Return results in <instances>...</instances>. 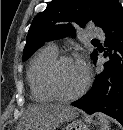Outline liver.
Here are the masks:
<instances>
[{
    "instance_id": "6515ba94",
    "label": "liver",
    "mask_w": 123,
    "mask_h": 130,
    "mask_svg": "<svg viewBox=\"0 0 123 130\" xmlns=\"http://www.w3.org/2000/svg\"><path fill=\"white\" fill-rule=\"evenodd\" d=\"M76 109L61 104H35L27 109L19 130H56L76 118Z\"/></svg>"
}]
</instances>
